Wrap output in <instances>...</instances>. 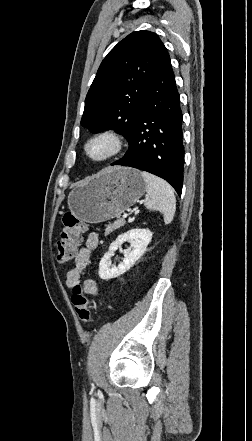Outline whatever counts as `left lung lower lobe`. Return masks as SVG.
<instances>
[{"label": "left lung lower lobe", "instance_id": "obj_1", "mask_svg": "<svg viewBox=\"0 0 252 441\" xmlns=\"http://www.w3.org/2000/svg\"><path fill=\"white\" fill-rule=\"evenodd\" d=\"M183 158L180 96L164 46L129 141V149L124 157L111 165L129 166L155 174L181 195Z\"/></svg>", "mask_w": 252, "mask_h": 441}]
</instances>
